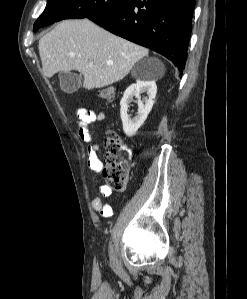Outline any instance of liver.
I'll return each instance as SVG.
<instances>
[{"mask_svg":"<svg viewBox=\"0 0 247 299\" xmlns=\"http://www.w3.org/2000/svg\"><path fill=\"white\" fill-rule=\"evenodd\" d=\"M39 54L48 78L76 70L84 77L83 87L91 90L122 80L135 63L148 56V50L89 19H73L62 21L39 40Z\"/></svg>","mask_w":247,"mask_h":299,"instance_id":"liver-1","label":"liver"}]
</instances>
